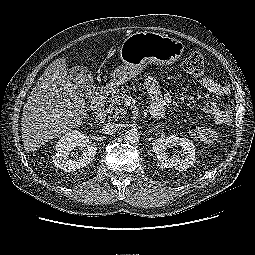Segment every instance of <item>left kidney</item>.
Returning <instances> with one entry per match:
<instances>
[{"label": "left kidney", "instance_id": "5707ae66", "mask_svg": "<svg viewBox=\"0 0 255 255\" xmlns=\"http://www.w3.org/2000/svg\"><path fill=\"white\" fill-rule=\"evenodd\" d=\"M152 145L158 161L165 168H175L182 171L188 169L196 161L195 146L189 139L179 138L177 135H170L166 138L156 139ZM178 145L182 147V158L176 155L170 156L166 152V149Z\"/></svg>", "mask_w": 255, "mask_h": 255}]
</instances>
